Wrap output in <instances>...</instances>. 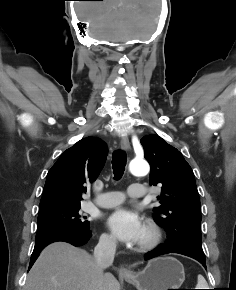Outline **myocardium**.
I'll return each instance as SVG.
<instances>
[{"mask_svg": "<svg viewBox=\"0 0 236 290\" xmlns=\"http://www.w3.org/2000/svg\"><path fill=\"white\" fill-rule=\"evenodd\" d=\"M161 239V232L156 224L149 222L146 224L142 238L138 242L139 250H151L155 248Z\"/></svg>", "mask_w": 236, "mask_h": 290, "instance_id": "myocardium-1", "label": "myocardium"}]
</instances>
